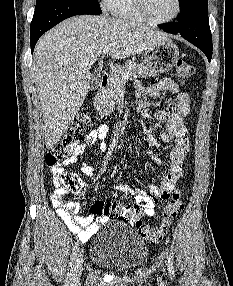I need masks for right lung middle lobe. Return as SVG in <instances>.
<instances>
[{"mask_svg": "<svg viewBox=\"0 0 233 286\" xmlns=\"http://www.w3.org/2000/svg\"><path fill=\"white\" fill-rule=\"evenodd\" d=\"M52 0H36L35 12L43 9ZM79 4L85 5L96 12L102 13L100 5L97 0H73Z\"/></svg>", "mask_w": 233, "mask_h": 286, "instance_id": "obj_1", "label": "right lung middle lobe"}]
</instances>
